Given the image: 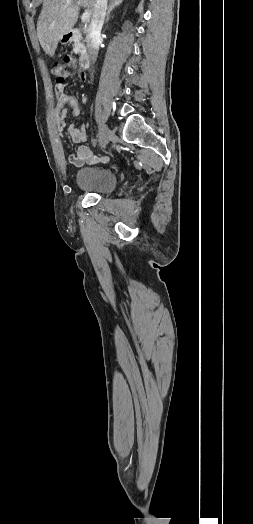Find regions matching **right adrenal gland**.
Here are the masks:
<instances>
[{
	"mask_svg": "<svg viewBox=\"0 0 253 524\" xmlns=\"http://www.w3.org/2000/svg\"><path fill=\"white\" fill-rule=\"evenodd\" d=\"M121 3H122V0H111V2L109 4V7H108L107 14H106L105 23H107L109 21L110 13L112 12V10L115 7L119 6Z\"/></svg>",
	"mask_w": 253,
	"mask_h": 524,
	"instance_id": "2a0ac1e0",
	"label": "right adrenal gland"
}]
</instances>
